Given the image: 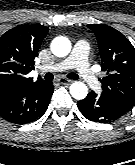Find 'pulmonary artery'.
<instances>
[{
  "label": "pulmonary artery",
  "mask_w": 135,
  "mask_h": 165,
  "mask_svg": "<svg viewBox=\"0 0 135 165\" xmlns=\"http://www.w3.org/2000/svg\"><path fill=\"white\" fill-rule=\"evenodd\" d=\"M89 45L86 40H79L73 47L71 54L50 66L42 68L44 72H60L75 68L84 82L92 89H98L100 84L88 62Z\"/></svg>",
  "instance_id": "e3ab8cb5"
}]
</instances>
